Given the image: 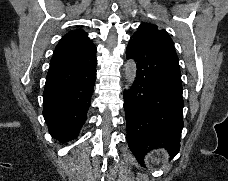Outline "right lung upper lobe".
I'll list each match as a JSON object with an SVG mask.
<instances>
[{"mask_svg":"<svg viewBox=\"0 0 228 181\" xmlns=\"http://www.w3.org/2000/svg\"><path fill=\"white\" fill-rule=\"evenodd\" d=\"M93 46L92 41L84 31H71L60 40L51 61L72 56Z\"/></svg>","mask_w":228,"mask_h":181,"instance_id":"obj_1","label":"right lung upper lobe"}]
</instances>
